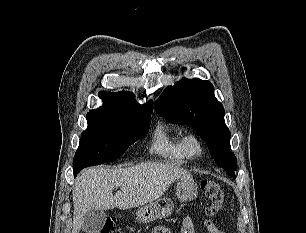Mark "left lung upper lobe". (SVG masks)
<instances>
[{"label":"left lung upper lobe","instance_id":"5c2ea615","mask_svg":"<svg viewBox=\"0 0 306 233\" xmlns=\"http://www.w3.org/2000/svg\"><path fill=\"white\" fill-rule=\"evenodd\" d=\"M154 107L169 122L188 124L195 129L205 140L216 164L236 177L237 161L231 152V134L225 125V111L215 98L210 82L198 78L182 79L167 87Z\"/></svg>","mask_w":306,"mask_h":233}]
</instances>
